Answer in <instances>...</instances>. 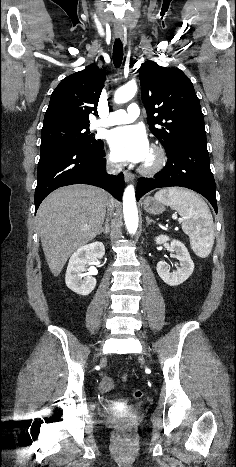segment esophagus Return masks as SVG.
Here are the masks:
<instances>
[{
    "label": "esophagus",
    "instance_id": "34e87169",
    "mask_svg": "<svg viewBox=\"0 0 236 467\" xmlns=\"http://www.w3.org/2000/svg\"><path fill=\"white\" fill-rule=\"evenodd\" d=\"M124 177L126 182H130L134 180V175L129 171H124Z\"/></svg>",
    "mask_w": 236,
    "mask_h": 467
}]
</instances>
